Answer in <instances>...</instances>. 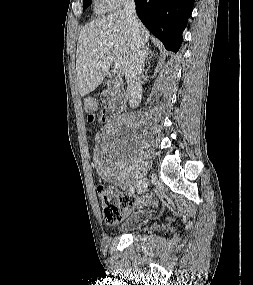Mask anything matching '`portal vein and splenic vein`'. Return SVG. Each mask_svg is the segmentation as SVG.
I'll use <instances>...</instances> for the list:
<instances>
[{"label": "portal vein and splenic vein", "instance_id": "portal-vein-and-splenic-vein-1", "mask_svg": "<svg viewBox=\"0 0 253 285\" xmlns=\"http://www.w3.org/2000/svg\"><path fill=\"white\" fill-rule=\"evenodd\" d=\"M113 56H114L113 57V59H114V66H115L116 69H119L120 68V60H119V58H118L116 53H113Z\"/></svg>", "mask_w": 253, "mask_h": 285}]
</instances>
